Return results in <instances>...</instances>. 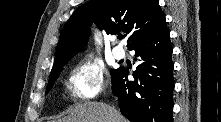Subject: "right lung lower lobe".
Listing matches in <instances>:
<instances>
[{"label":"right lung lower lobe","mask_w":221,"mask_h":122,"mask_svg":"<svg viewBox=\"0 0 221 122\" xmlns=\"http://www.w3.org/2000/svg\"><path fill=\"white\" fill-rule=\"evenodd\" d=\"M129 49L136 52L134 61L139 63L135 81L127 80L124 68L112 76V93L121 113L131 122H172L173 49L166 22Z\"/></svg>","instance_id":"obj_1"}]
</instances>
